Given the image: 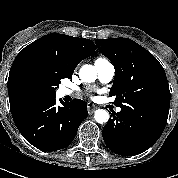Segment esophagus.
<instances>
[{"mask_svg": "<svg viewBox=\"0 0 178 178\" xmlns=\"http://www.w3.org/2000/svg\"><path fill=\"white\" fill-rule=\"evenodd\" d=\"M95 109H97V106H95L92 103H88V112H89V114H92L95 111Z\"/></svg>", "mask_w": 178, "mask_h": 178, "instance_id": "esophagus-1", "label": "esophagus"}]
</instances>
